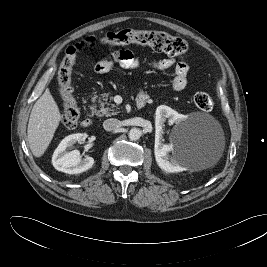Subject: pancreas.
Masks as SVG:
<instances>
[{
	"label": "pancreas",
	"instance_id": "pancreas-1",
	"mask_svg": "<svg viewBox=\"0 0 267 267\" xmlns=\"http://www.w3.org/2000/svg\"><path fill=\"white\" fill-rule=\"evenodd\" d=\"M109 94L104 93L101 95V97L98 99V106L99 109H97V105L91 106L92 114L97 115L98 117H103V116H111V115H116L118 111L116 110V105L115 104H109L108 101ZM96 98L93 99L95 101Z\"/></svg>",
	"mask_w": 267,
	"mask_h": 267
}]
</instances>
